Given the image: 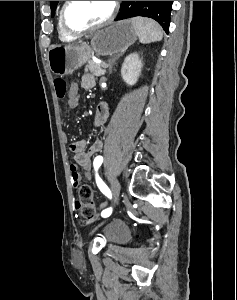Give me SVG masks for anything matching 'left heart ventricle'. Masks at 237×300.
Here are the masks:
<instances>
[{
	"label": "left heart ventricle",
	"mask_w": 237,
	"mask_h": 300,
	"mask_svg": "<svg viewBox=\"0 0 237 300\" xmlns=\"http://www.w3.org/2000/svg\"><path fill=\"white\" fill-rule=\"evenodd\" d=\"M112 1H72L66 13V22L80 30L104 21L110 14Z\"/></svg>",
	"instance_id": "left-heart-ventricle-1"
}]
</instances>
